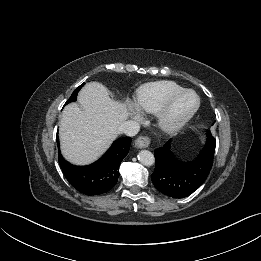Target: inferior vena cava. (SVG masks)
I'll return each instance as SVG.
<instances>
[{
    "label": "inferior vena cava",
    "instance_id": "602c4592",
    "mask_svg": "<svg viewBox=\"0 0 261 261\" xmlns=\"http://www.w3.org/2000/svg\"><path fill=\"white\" fill-rule=\"evenodd\" d=\"M140 129V125L136 121H125L119 128V132L127 135V136H135Z\"/></svg>",
    "mask_w": 261,
    "mask_h": 261
}]
</instances>
